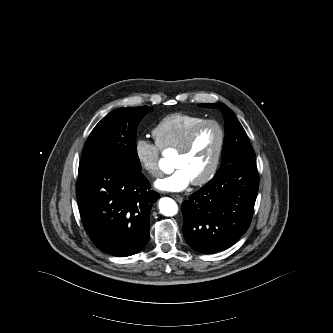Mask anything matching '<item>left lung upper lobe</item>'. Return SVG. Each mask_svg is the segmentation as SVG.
Returning <instances> with one entry per match:
<instances>
[{"mask_svg":"<svg viewBox=\"0 0 333 333\" xmlns=\"http://www.w3.org/2000/svg\"><path fill=\"white\" fill-rule=\"evenodd\" d=\"M200 106L218 108L224 115L226 134L222 150V165L219 170L235 161L254 158L255 153L251 149L247 134L231 109L222 103L200 104Z\"/></svg>","mask_w":333,"mask_h":333,"instance_id":"1","label":"left lung upper lobe"}]
</instances>
